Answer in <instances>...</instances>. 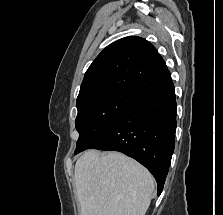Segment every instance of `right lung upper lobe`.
<instances>
[{"instance_id":"right-lung-upper-lobe-1","label":"right lung upper lobe","mask_w":223,"mask_h":215,"mask_svg":"<svg viewBox=\"0 0 223 215\" xmlns=\"http://www.w3.org/2000/svg\"><path fill=\"white\" fill-rule=\"evenodd\" d=\"M170 72L155 47L143 38H122L107 46L87 69L77 105L114 90L143 95L171 82Z\"/></svg>"}]
</instances>
